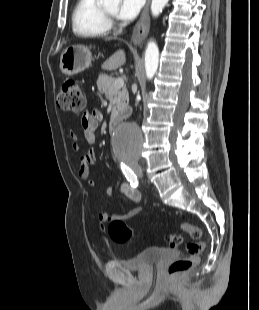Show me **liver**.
Masks as SVG:
<instances>
[{
	"label": "liver",
	"instance_id": "liver-1",
	"mask_svg": "<svg viewBox=\"0 0 259 310\" xmlns=\"http://www.w3.org/2000/svg\"><path fill=\"white\" fill-rule=\"evenodd\" d=\"M126 62L125 52L123 50L116 51L112 56L109 57L103 64V68L109 70H115Z\"/></svg>",
	"mask_w": 259,
	"mask_h": 310
}]
</instances>
